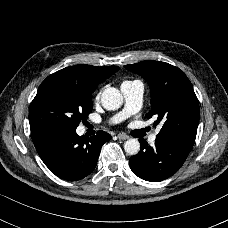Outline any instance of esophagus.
I'll return each mask as SVG.
<instances>
[{"label":"esophagus","instance_id":"1","mask_svg":"<svg viewBox=\"0 0 228 228\" xmlns=\"http://www.w3.org/2000/svg\"><path fill=\"white\" fill-rule=\"evenodd\" d=\"M117 137H118V139H120V140H127L129 137L126 135V134H124V133H118L117 134Z\"/></svg>","mask_w":228,"mask_h":228}]
</instances>
